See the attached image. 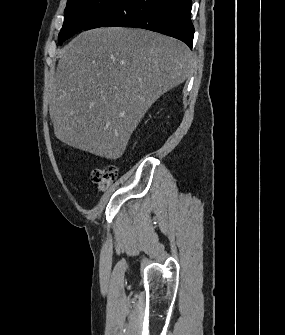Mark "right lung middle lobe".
I'll use <instances>...</instances> for the list:
<instances>
[{
  "label": "right lung middle lobe",
  "mask_w": 285,
  "mask_h": 335,
  "mask_svg": "<svg viewBox=\"0 0 285 335\" xmlns=\"http://www.w3.org/2000/svg\"><path fill=\"white\" fill-rule=\"evenodd\" d=\"M115 0H68L58 41L62 44L107 9Z\"/></svg>",
  "instance_id": "right-lung-middle-lobe-1"
}]
</instances>
